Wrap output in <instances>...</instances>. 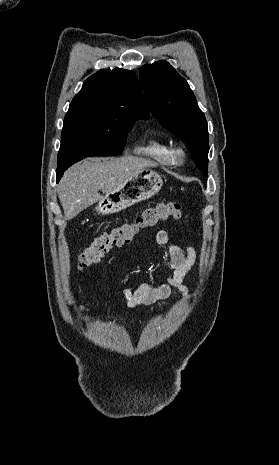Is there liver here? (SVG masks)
Returning a JSON list of instances; mask_svg holds the SVG:
<instances>
[{"label": "liver", "mask_w": 279, "mask_h": 465, "mask_svg": "<svg viewBox=\"0 0 279 465\" xmlns=\"http://www.w3.org/2000/svg\"><path fill=\"white\" fill-rule=\"evenodd\" d=\"M154 164L144 158L123 156L120 158H89L70 167L58 185V196L66 220L73 219L81 211L100 201L99 193H109L135 173Z\"/></svg>", "instance_id": "obj_1"}]
</instances>
